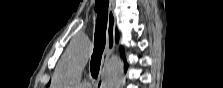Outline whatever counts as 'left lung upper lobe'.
I'll list each match as a JSON object with an SVG mask.
<instances>
[{
    "mask_svg": "<svg viewBox=\"0 0 223 88\" xmlns=\"http://www.w3.org/2000/svg\"><path fill=\"white\" fill-rule=\"evenodd\" d=\"M116 41H118V32L116 31ZM120 50H121V53L123 52V49H122V47L120 48Z\"/></svg>",
    "mask_w": 223,
    "mask_h": 88,
    "instance_id": "1",
    "label": "left lung upper lobe"
}]
</instances>
